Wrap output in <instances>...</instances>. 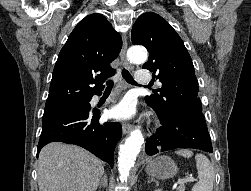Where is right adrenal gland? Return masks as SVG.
Listing matches in <instances>:
<instances>
[{
	"label": "right adrenal gland",
	"mask_w": 251,
	"mask_h": 191,
	"mask_svg": "<svg viewBox=\"0 0 251 191\" xmlns=\"http://www.w3.org/2000/svg\"><path fill=\"white\" fill-rule=\"evenodd\" d=\"M102 185H103V187H107V185H108L107 173H104V175L99 183L98 191H101Z\"/></svg>",
	"instance_id": "right-adrenal-gland-1"
}]
</instances>
